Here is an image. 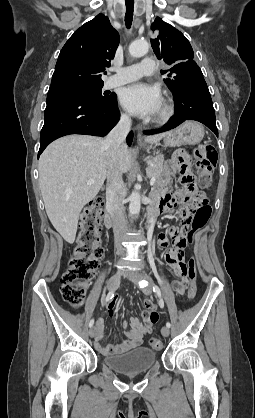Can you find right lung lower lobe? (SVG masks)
Returning <instances> with one entry per match:
<instances>
[{
	"mask_svg": "<svg viewBox=\"0 0 255 418\" xmlns=\"http://www.w3.org/2000/svg\"><path fill=\"white\" fill-rule=\"evenodd\" d=\"M119 118L115 94L110 100L103 101L81 93H48L38 158L47 145L65 135L105 136ZM132 140L133 133L130 132L126 139L129 146Z\"/></svg>",
	"mask_w": 255,
	"mask_h": 418,
	"instance_id": "98d812e1",
	"label": "right lung lower lobe"
}]
</instances>
